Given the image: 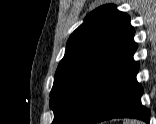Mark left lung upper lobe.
<instances>
[{"instance_id":"obj_1","label":"left lung upper lobe","mask_w":156,"mask_h":124,"mask_svg":"<svg viewBox=\"0 0 156 124\" xmlns=\"http://www.w3.org/2000/svg\"><path fill=\"white\" fill-rule=\"evenodd\" d=\"M127 14L114 5L92 11L70 36L50 93L52 124H78L119 64L137 47Z\"/></svg>"}]
</instances>
